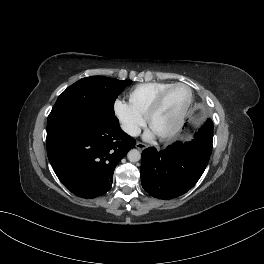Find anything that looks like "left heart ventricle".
I'll return each instance as SVG.
<instances>
[{
	"mask_svg": "<svg viewBox=\"0 0 264 264\" xmlns=\"http://www.w3.org/2000/svg\"><path fill=\"white\" fill-rule=\"evenodd\" d=\"M188 99V91L184 87H175L170 90L159 110L151 120V129L156 134L168 130L177 120Z\"/></svg>",
	"mask_w": 264,
	"mask_h": 264,
	"instance_id": "1",
	"label": "left heart ventricle"
}]
</instances>
